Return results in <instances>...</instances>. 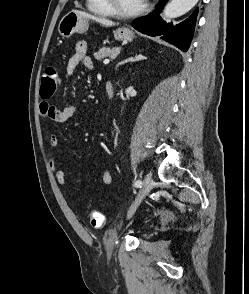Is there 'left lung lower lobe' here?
<instances>
[{
  "label": "left lung lower lobe",
  "mask_w": 249,
  "mask_h": 294,
  "mask_svg": "<svg viewBox=\"0 0 249 294\" xmlns=\"http://www.w3.org/2000/svg\"><path fill=\"white\" fill-rule=\"evenodd\" d=\"M167 1L159 0L155 10L148 16L136 19L133 27L150 36H162L163 40L177 46L182 51H187L193 37L198 10L196 9L189 18L175 26L172 23L166 24L159 17V13Z\"/></svg>",
  "instance_id": "obj_1"
}]
</instances>
